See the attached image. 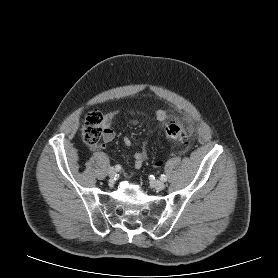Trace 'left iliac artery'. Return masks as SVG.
<instances>
[{"label": "left iliac artery", "instance_id": "left-iliac-artery-1", "mask_svg": "<svg viewBox=\"0 0 278 278\" xmlns=\"http://www.w3.org/2000/svg\"><path fill=\"white\" fill-rule=\"evenodd\" d=\"M160 179L165 182L167 180V176L163 174L160 176Z\"/></svg>", "mask_w": 278, "mask_h": 278}]
</instances>
